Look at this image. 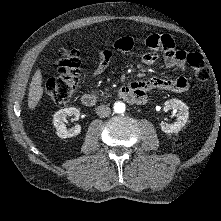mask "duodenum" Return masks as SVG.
<instances>
[{
	"mask_svg": "<svg viewBox=\"0 0 221 221\" xmlns=\"http://www.w3.org/2000/svg\"><path fill=\"white\" fill-rule=\"evenodd\" d=\"M117 95L130 103H141L138 94L130 86L121 87L117 91ZM81 102L86 107H94L97 105L98 99L92 93H84L81 96Z\"/></svg>",
	"mask_w": 221,
	"mask_h": 221,
	"instance_id": "410a0bca",
	"label": "duodenum"
}]
</instances>
